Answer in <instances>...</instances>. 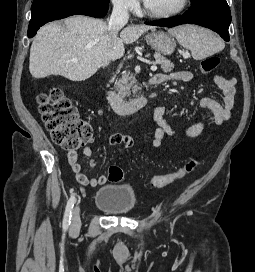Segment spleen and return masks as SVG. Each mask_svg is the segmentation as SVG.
I'll list each match as a JSON object with an SVG mask.
<instances>
[{"instance_id":"obj_1","label":"spleen","mask_w":255,"mask_h":272,"mask_svg":"<svg viewBox=\"0 0 255 272\" xmlns=\"http://www.w3.org/2000/svg\"><path fill=\"white\" fill-rule=\"evenodd\" d=\"M179 44L191 51L192 57L201 60L224 49V42L208 29L196 25H182L170 30Z\"/></svg>"}]
</instances>
